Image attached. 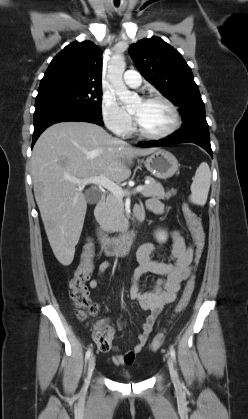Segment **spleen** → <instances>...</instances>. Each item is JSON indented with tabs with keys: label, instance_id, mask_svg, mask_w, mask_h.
I'll return each mask as SVG.
<instances>
[{
	"label": "spleen",
	"instance_id": "spleen-1",
	"mask_svg": "<svg viewBox=\"0 0 248 419\" xmlns=\"http://www.w3.org/2000/svg\"><path fill=\"white\" fill-rule=\"evenodd\" d=\"M211 183V172L208 164L202 162L196 170L191 184L190 201L194 204L204 206L207 201Z\"/></svg>",
	"mask_w": 248,
	"mask_h": 419
}]
</instances>
